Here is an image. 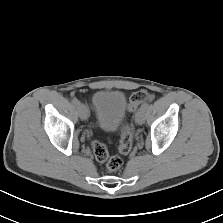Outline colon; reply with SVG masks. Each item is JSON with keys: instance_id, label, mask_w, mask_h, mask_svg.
<instances>
[{"instance_id": "colon-1", "label": "colon", "mask_w": 223, "mask_h": 223, "mask_svg": "<svg viewBox=\"0 0 223 223\" xmlns=\"http://www.w3.org/2000/svg\"><path fill=\"white\" fill-rule=\"evenodd\" d=\"M151 99V94L147 90H140L133 93L130 96L128 109L131 112H134L140 104L146 102ZM133 143L132 138V131L128 124H123L121 128V135H120V146H119V153L121 155H126ZM93 153L95 158L99 162H104L106 164V168L110 172H115L122 166V159L119 156H109L106 146L99 142L95 141L92 145Z\"/></svg>"}]
</instances>
